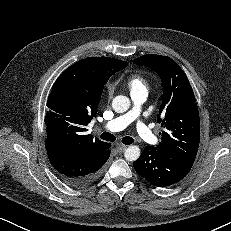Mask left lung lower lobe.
I'll return each instance as SVG.
<instances>
[{"mask_svg": "<svg viewBox=\"0 0 231 231\" xmlns=\"http://www.w3.org/2000/svg\"><path fill=\"white\" fill-rule=\"evenodd\" d=\"M192 165L193 163L161 155L150 146L133 162L136 172L157 187H166L179 182L189 173Z\"/></svg>", "mask_w": 231, "mask_h": 231, "instance_id": "obj_1", "label": "left lung lower lobe"}]
</instances>
